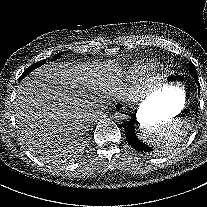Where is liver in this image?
I'll return each instance as SVG.
<instances>
[{
	"mask_svg": "<svg viewBox=\"0 0 207 207\" xmlns=\"http://www.w3.org/2000/svg\"><path fill=\"white\" fill-rule=\"evenodd\" d=\"M97 72L69 63L43 65L19 84L14 102L16 132L27 150L47 160L57 151L79 153L97 108L91 90Z\"/></svg>",
	"mask_w": 207,
	"mask_h": 207,
	"instance_id": "obj_1",
	"label": "liver"
}]
</instances>
